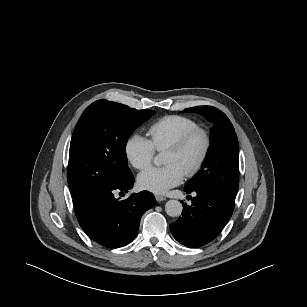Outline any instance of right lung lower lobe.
<instances>
[{
  "label": "right lung lower lobe",
  "mask_w": 307,
  "mask_h": 307,
  "mask_svg": "<svg viewBox=\"0 0 307 307\" xmlns=\"http://www.w3.org/2000/svg\"><path fill=\"white\" fill-rule=\"evenodd\" d=\"M133 183L131 173L123 182L74 204L81 228L104 247L117 248L129 244L138 232L141 216L156 203L153 194L148 191L133 193L125 200L114 197L115 192H128Z\"/></svg>",
  "instance_id": "obj_1"
}]
</instances>
